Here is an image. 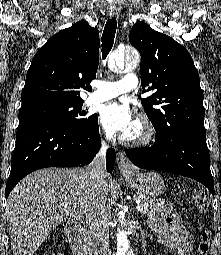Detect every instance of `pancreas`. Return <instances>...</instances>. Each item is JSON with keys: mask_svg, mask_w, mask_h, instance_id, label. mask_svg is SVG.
Returning <instances> with one entry per match:
<instances>
[{"mask_svg": "<svg viewBox=\"0 0 221 255\" xmlns=\"http://www.w3.org/2000/svg\"><path fill=\"white\" fill-rule=\"evenodd\" d=\"M133 198L140 199L139 206L143 209L139 211L141 214L154 215L162 212L165 206L164 199H149L137 192L133 195Z\"/></svg>", "mask_w": 221, "mask_h": 255, "instance_id": "cf45deb5", "label": "pancreas"}]
</instances>
